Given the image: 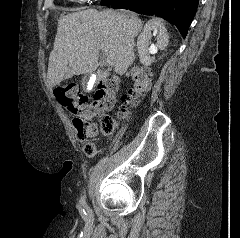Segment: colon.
<instances>
[{
	"label": "colon",
	"instance_id": "1",
	"mask_svg": "<svg viewBox=\"0 0 240 238\" xmlns=\"http://www.w3.org/2000/svg\"><path fill=\"white\" fill-rule=\"evenodd\" d=\"M130 77L132 85L121 97L119 118L126 117L129 106L138 101L150 87L151 72L147 68H132ZM116 88L117 82L114 79L99 84L92 102L88 101L76 84H66L54 89L57 101L73 116V126L78 139L86 142L84 152L87 156L95 154V146L90 139L98 133L109 135L117 127V119L105 113L115 104ZM92 117L98 118V124L90 121Z\"/></svg>",
	"mask_w": 240,
	"mask_h": 238
}]
</instances>
